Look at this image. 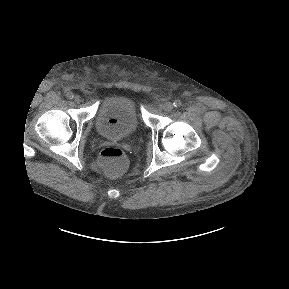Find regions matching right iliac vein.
<instances>
[{
	"instance_id": "right-iliac-vein-1",
	"label": "right iliac vein",
	"mask_w": 289,
	"mask_h": 289,
	"mask_svg": "<svg viewBox=\"0 0 289 289\" xmlns=\"http://www.w3.org/2000/svg\"><path fill=\"white\" fill-rule=\"evenodd\" d=\"M74 101H75L76 103H80V102H81V97H80L79 95H76V96L74 97Z\"/></svg>"
}]
</instances>
